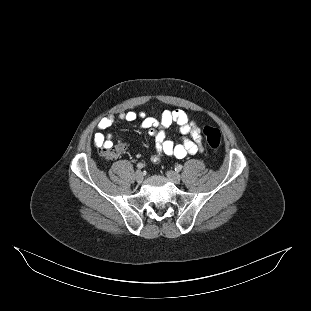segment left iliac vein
I'll use <instances>...</instances> for the list:
<instances>
[{"mask_svg": "<svg viewBox=\"0 0 311 311\" xmlns=\"http://www.w3.org/2000/svg\"><path fill=\"white\" fill-rule=\"evenodd\" d=\"M166 175L168 179L175 184H179L181 181V176L174 171H167Z\"/></svg>", "mask_w": 311, "mask_h": 311, "instance_id": "left-iliac-vein-1", "label": "left iliac vein"}]
</instances>
